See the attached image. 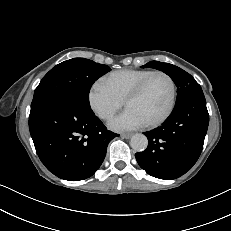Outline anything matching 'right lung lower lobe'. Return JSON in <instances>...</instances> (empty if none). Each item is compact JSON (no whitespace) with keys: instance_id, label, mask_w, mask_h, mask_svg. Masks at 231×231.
Listing matches in <instances>:
<instances>
[{"instance_id":"right-lung-lower-lobe-1","label":"right lung lower lobe","mask_w":231,"mask_h":231,"mask_svg":"<svg viewBox=\"0 0 231 231\" xmlns=\"http://www.w3.org/2000/svg\"><path fill=\"white\" fill-rule=\"evenodd\" d=\"M29 129L36 152L57 177L79 181L102 164L108 143L118 136L103 125L90 105L57 97L30 113Z\"/></svg>"}]
</instances>
